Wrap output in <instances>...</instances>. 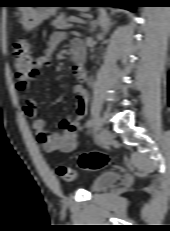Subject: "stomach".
<instances>
[{"label": "stomach", "mask_w": 170, "mask_h": 231, "mask_svg": "<svg viewBox=\"0 0 170 231\" xmlns=\"http://www.w3.org/2000/svg\"><path fill=\"white\" fill-rule=\"evenodd\" d=\"M26 2L35 4L55 3V1L51 0H34ZM57 9L58 7H45L44 5H39V7H21V24L25 30L30 31L44 20L53 16L57 12Z\"/></svg>", "instance_id": "obj_1"}]
</instances>
